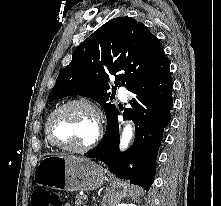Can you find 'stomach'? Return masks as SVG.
I'll use <instances>...</instances> for the list:
<instances>
[{
    "mask_svg": "<svg viewBox=\"0 0 221 206\" xmlns=\"http://www.w3.org/2000/svg\"><path fill=\"white\" fill-rule=\"evenodd\" d=\"M106 177L95 162L71 155L44 157L34 172L38 186L60 191H87L100 187Z\"/></svg>",
    "mask_w": 221,
    "mask_h": 206,
    "instance_id": "0dacf381",
    "label": "stomach"
}]
</instances>
